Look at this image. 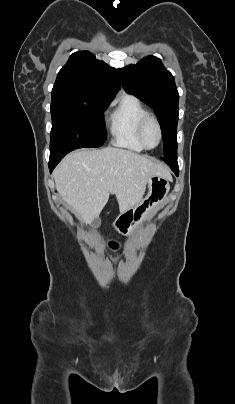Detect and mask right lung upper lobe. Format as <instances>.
<instances>
[{"instance_id":"1","label":"right lung upper lobe","mask_w":235,"mask_h":404,"mask_svg":"<svg viewBox=\"0 0 235 404\" xmlns=\"http://www.w3.org/2000/svg\"><path fill=\"white\" fill-rule=\"evenodd\" d=\"M119 89L116 69L97 60L89 51H79L59 71L52 92L111 101Z\"/></svg>"}]
</instances>
